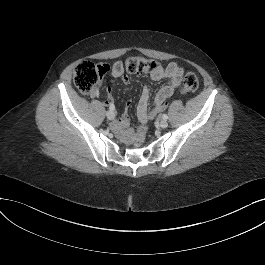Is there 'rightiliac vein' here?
<instances>
[{
	"label": "right iliac vein",
	"instance_id": "right-iliac-vein-1",
	"mask_svg": "<svg viewBox=\"0 0 265 265\" xmlns=\"http://www.w3.org/2000/svg\"><path fill=\"white\" fill-rule=\"evenodd\" d=\"M106 116L109 120H113V118L115 117L113 111L111 110L107 111Z\"/></svg>",
	"mask_w": 265,
	"mask_h": 265
}]
</instances>
